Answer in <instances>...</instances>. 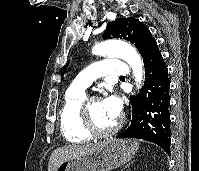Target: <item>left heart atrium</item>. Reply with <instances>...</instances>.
Listing matches in <instances>:
<instances>
[{
    "instance_id": "1",
    "label": "left heart atrium",
    "mask_w": 199,
    "mask_h": 171,
    "mask_svg": "<svg viewBox=\"0 0 199 171\" xmlns=\"http://www.w3.org/2000/svg\"><path fill=\"white\" fill-rule=\"evenodd\" d=\"M105 112L112 118L117 119L122 111L121 99L115 93H109L102 100Z\"/></svg>"
}]
</instances>
